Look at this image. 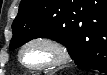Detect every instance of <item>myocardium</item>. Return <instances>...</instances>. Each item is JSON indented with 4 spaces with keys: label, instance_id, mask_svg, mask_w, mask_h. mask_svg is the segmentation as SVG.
<instances>
[{
    "label": "myocardium",
    "instance_id": "obj_1",
    "mask_svg": "<svg viewBox=\"0 0 107 75\" xmlns=\"http://www.w3.org/2000/svg\"><path fill=\"white\" fill-rule=\"evenodd\" d=\"M33 45H43L51 49L55 53V59L49 63L42 65H29L24 61L23 55L27 48ZM70 50L68 46L57 38L46 35L34 36L22 44L18 52L19 62L27 69L33 71H42L53 69L66 64L70 60Z\"/></svg>",
    "mask_w": 107,
    "mask_h": 75
}]
</instances>
